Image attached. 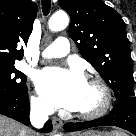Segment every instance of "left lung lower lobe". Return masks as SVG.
<instances>
[{
  "mask_svg": "<svg viewBox=\"0 0 136 136\" xmlns=\"http://www.w3.org/2000/svg\"><path fill=\"white\" fill-rule=\"evenodd\" d=\"M96 126H117L136 136V97L117 99L113 110L107 116L92 121L67 123L64 129L72 132Z\"/></svg>",
  "mask_w": 136,
  "mask_h": 136,
  "instance_id": "obj_1",
  "label": "left lung lower lobe"
}]
</instances>
